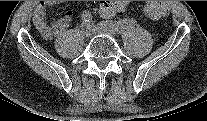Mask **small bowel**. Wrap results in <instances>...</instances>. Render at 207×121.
<instances>
[{
    "instance_id": "small-bowel-1",
    "label": "small bowel",
    "mask_w": 207,
    "mask_h": 121,
    "mask_svg": "<svg viewBox=\"0 0 207 121\" xmlns=\"http://www.w3.org/2000/svg\"><path fill=\"white\" fill-rule=\"evenodd\" d=\"M55 1L39 2L34 9L33 23L45 40H51L63 30H65L71 22L72 12L68 11L63 17L55 19L51 25L46 21L47 7L54 5ZM125 3L121 1H102L100 3V13L104 18H111L116 13L124 9Z\"/></svg>"
}]
</instances>
